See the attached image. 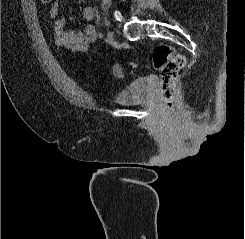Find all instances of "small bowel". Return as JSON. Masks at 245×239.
I'll return each instance as SVG.
<instances>
[{
	"mask_svg": "<svg viewBox=\"0 0 245 239\" xmlns=\"http://www.w3.org/2000/svg\"><path fill=\"white\" fill-rule=\"evenodd\" d=\"M59 1H54L49 9V14L53 19V31L55 43L71 52H87L96 41V30L88 24L83 31H70L66 28L64 17L59 16ZM82 18L91 21L94 18V9L90 5H85L81 10Z\"/></svg>",
	"mask_w": 245,
	"mask_h": 239,
	"instance_id": "1",
	"label": "small bowel"
}]
</instances>
